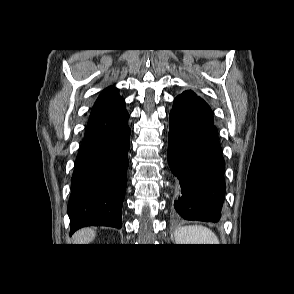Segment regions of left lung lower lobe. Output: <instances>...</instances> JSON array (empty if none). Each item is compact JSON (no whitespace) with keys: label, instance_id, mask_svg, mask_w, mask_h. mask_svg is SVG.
Instances as JSON below:
<instances>
[{"label":"left lung lower lobe","instance_id":"0a47b994","mask_svg":"<svg viewBox=\"0 0 294 294\" xmlns=\"http://www.w3.org/2000/svg\"><path fill=\"white\" fill-rule=\"evenodd\" d=\"M168 163L176 177L174 210L186 220L219 221L224 201V159L213 113L192 91L174 99Z\"/></svg>","mask_w":294,"mask_h":294}]
</instances>
